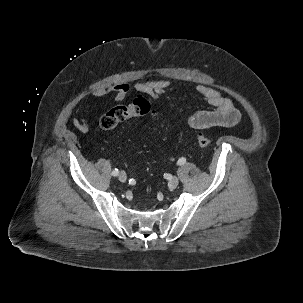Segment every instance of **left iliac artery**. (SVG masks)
<instances>
[{"label": "left iliac artery", "mask_w": 303, "mask_h": 303, "mask_svg": "<svg viewBox=\"0 0 303 303\" xmlns=\"http://www.w3.org/2000/svg\"><path fill=\"white\" fill-rule=\"evenodd\" d=\"M185 163H186V158L184 157H181L177 162L178 165H184Z\"/></svg>", "instance_id": "1"}]
</instances>
